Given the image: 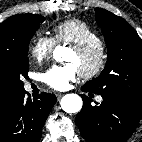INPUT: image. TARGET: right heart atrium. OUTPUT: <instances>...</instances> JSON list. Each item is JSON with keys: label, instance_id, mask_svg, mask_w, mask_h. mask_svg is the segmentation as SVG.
<instances>
[{"label": "right heart atrium", "instance_id": "right-heart-atrium-1", "mask_svg": "<svg viewBox=\"0 0 142 142\" xmlns=\"http://www.w3.org/2000/svg\"><path fill=\"white\" fill-rule=\"evenodd\" d=\"M54 46V38L38 34L30 45V55L36 62L41 63L51 57Z\"/></svg>", "mask_w": 142, "mask_h": 142}]
</instances>
